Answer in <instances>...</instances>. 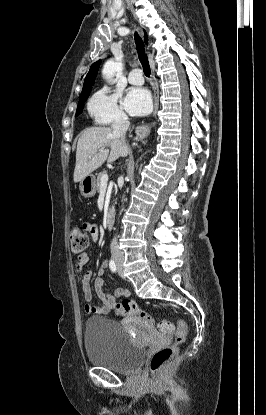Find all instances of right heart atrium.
Returning <instances> with one entry per match:
<instances>
[{"label":"right heart atrium","instance_id":"obj_1","mask_svg":"<svg viewBox=\"0 0 266 415\" xmlns=\"http://www.w3.org/2000/svg\"><path fill=\"white\" fill-rule=\"evenodd\" d=\"M87 110L91 118L100 125H108L127 119L119 103V96L104 87L95 92L88 101Z\"/></svg>","mask_w":266,"mask_h":415}]
</instances>
